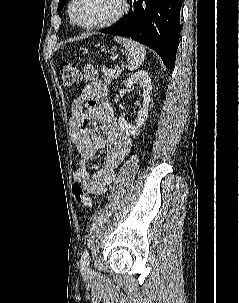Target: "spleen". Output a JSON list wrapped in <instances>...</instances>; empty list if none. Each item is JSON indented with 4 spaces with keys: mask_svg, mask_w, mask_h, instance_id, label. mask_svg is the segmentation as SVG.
I'll use <instances>...</instances> for the list:
<instances>
[{
    "mask_svg": "<svg viewBox=\"0 0 239 303\" xmlns=\"http://www.w3.org/2000/svg\"><path fill=\"white\" fill-rule=\"evenodd\" d=\"M114 39L120 43L126 50L129 51L127 59V68L130 71L138 69L145 60L146 50L138 42L124 37H114Z\"/></svg>",
    "mask_w": 239,
    "mask_h": 303,
    "instance_id": "obj_1",
    "label": "spleen"
}]
</instances>
